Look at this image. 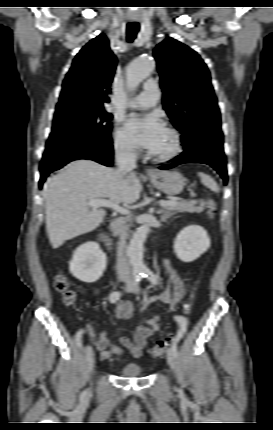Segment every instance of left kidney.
Here are the masks:
<instances>
[{
	"mask_svg": "<svg viewBox=\"0 0 273 430\" xmlns=\"http://www.w3.org/2000/svg\"><path fill=\"white\" fill-rule=\"evenodd\" d=\"M210 244L208 233L202 226L189 225L177 234L174 251L181 261L192 262L205 253Z\"/></svg>",
	"mask_w": 273,
	"mask_h": 430,
	"instance_id": "1",
	"label": "left kidney"
}]
</instances>
